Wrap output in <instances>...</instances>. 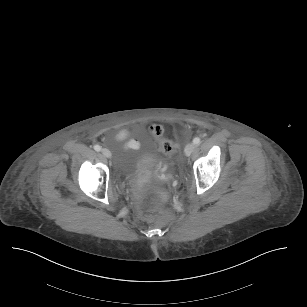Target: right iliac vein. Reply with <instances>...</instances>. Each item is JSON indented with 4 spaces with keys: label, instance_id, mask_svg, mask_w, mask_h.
Here are the masks:
<instances>
[{
    "label": "right iliac vein",
    "instance_id": "1",
    "mask_svg": "<svg viewBox=\"0 0 307 307\" xmlns=\"http://www.w3.org/2000/svg\"><path fill=\"white\" fill-rule=\"evenodd\" d=\"M101 153L103 154V156H105L107 158L111 157V152L106 148L102 149Z\"/></svg>",
    "mask_w": 307,
    "mask_h": 307
}]
</instances>
